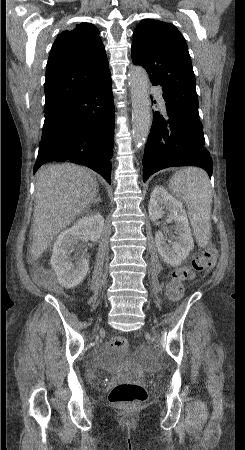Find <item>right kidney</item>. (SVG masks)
<instances>
[{"mask_svg": "<svg viewBox=\"0 0 245 450\" xmlns=\"http://www.w3.org/2000/svg\"><path fill=\"white\" fill-rule=\"evenodd\" d=\"M104 228V218L96 213L79 219L71 228L61 232L53 246L51 265L59 283L65 288H74L86 277L89 261L86 257L72 262L71 252L82 236L97 242Z\"/></svg>", "mask_w": 245, "mask_h": 450, "instance_id": "1", "label": "right kidney"}]
</instances>
